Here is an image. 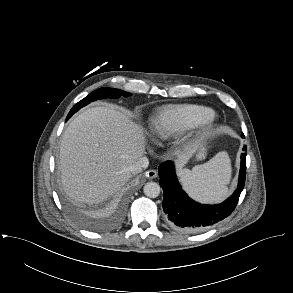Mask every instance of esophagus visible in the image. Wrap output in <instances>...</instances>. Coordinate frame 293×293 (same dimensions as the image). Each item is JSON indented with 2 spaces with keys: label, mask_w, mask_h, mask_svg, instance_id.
<instances>
[{
  "label": "esophagus",
  "mask_w": 293,
  "mask_h": 293,
  "mask_svg": "<svg viewBox=\"0 0 293 293\" xmlns=\"http://www.w3.org/2000/svg\"><path fill=\"white\" fill-rule=\"evenodd\" d=\"M158 175L157 171L156 170H148L146 173H145V176L148 177L149 179H153V178H156Z\"/></svg>",
  "instance_id": "1"
}]
</instances>
